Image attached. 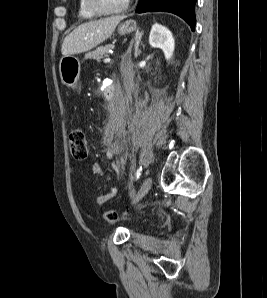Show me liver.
I'll list each match as a JSON object with an SVG mask.
<instances>
[{"instance_id": "liver-1", "label": "liver", "mask_w": 267, "mask_h": 298, "mask_svg": "<svg viewBox=\"0 0 267 298\" xmlns=\"http://www.w3.org/2000/svg\"><path fill=\"white\" fill-rule=\"evenodd\" d=\"M124 18V15L112 16L79 25L65 37L61 48L62 55L70 56L89 51L109 38Z\"/></svg>"}]
</instances>
